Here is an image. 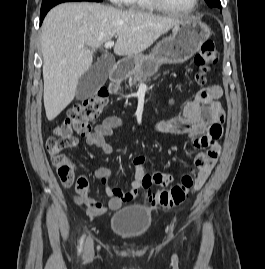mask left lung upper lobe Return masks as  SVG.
Returning a JSON list of instances; mask_svg holds the SVG:
<instances>
[{
    "instance_id": "5c2ea615",
    "label": "left lung upper lobe",
    "mask_w": 265,
    "mask_h": 269,
    "mask_svg": "<svg viewBox=\"0 0 265 269\" xmlns=\"http://www.w3.org/2000/svg\"><path fill=\"white\" fill-rule=\"evenodd\" d=\"M206 3L210 6V7H218L221 8L220 6V0H205Z\"/></svg>"
}]
</instances>
